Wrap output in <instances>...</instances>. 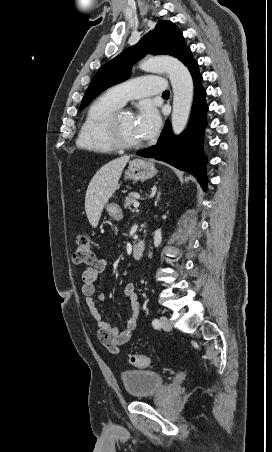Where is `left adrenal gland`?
<instances>
[{
	"mask_svg": "<svg viewBox=\"0 0 272 452\" xmlns=\"http://www.w3.org/2000/svg\"><path fill=\"white\" fill-rule=\"evenodd\" d=\"M160 194H161V192H160V189H159V191H158V193H157V199H156V203H157V202H159V199H160Z\"/></svg>",
	"mask_w": 272,
	"mask_h": 452,
	"instance_id": "left-adrenal-gland-1",
	"label": "left adrenal gland"
}]
</instances>
